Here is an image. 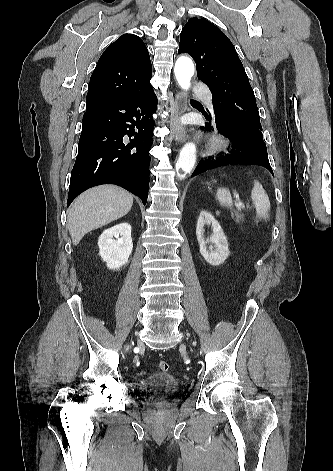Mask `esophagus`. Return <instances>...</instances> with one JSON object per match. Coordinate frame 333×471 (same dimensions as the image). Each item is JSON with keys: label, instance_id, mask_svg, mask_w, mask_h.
Wrapping results in <instances>:
<instances>
[{"label": "esophagus", "instance_id": "esophagus-1", "mask_svg": "<svg viewBox=\"0 0 333 471\" xmlns=\"http://www.w3.org/2000/svg\"><path fill=\"white\" fill-rule=\"evenodd\" d=\"M186 110L185 96L182 92H177L175 95V112L170 120V127L175 141L180 143L185 139V128L180 123V118Z\"/></svg>", "mask_w": 333, "mask_h": 471}]
</instances>
